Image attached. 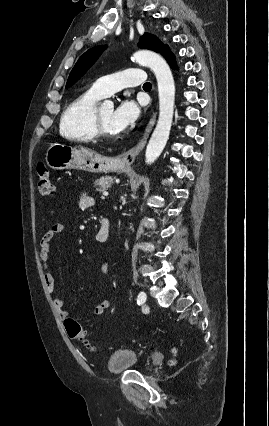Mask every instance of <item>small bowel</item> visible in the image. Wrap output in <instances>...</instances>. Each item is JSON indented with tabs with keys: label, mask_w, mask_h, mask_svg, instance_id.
I'll use <instances>...</instances> for the list:
<instances>
[{
	"label": "small bowel",
	"mask_w": 269,
	"mask_h": 426,
	"mask_svg": "<svg viewBox=\"0 0 269 426\" xmlns=\"http://www.w3.org/2000/svg\"><path fill=\"white\" fill-rule=\"evenodd\" d=\"M94 205V200L87 196L82 195L79 201V206L82 209L90 208ZM65 226L63 223L53 224L41 237L40 239V258L44 269V279L49 292L55 290V280L49 264V257L51 252V244L54 238L63 234ZM109 264L105 262L103 269L107 270ZM54 307L63 320L69 317L70 313L65 309V302L61 296H56L53 299ZM110 307V302L107 299H103L94 306V314L96 316H102Z\"/></svg>",
	"instance_id": "obj_1"
}]
</instances>
